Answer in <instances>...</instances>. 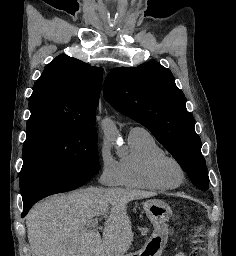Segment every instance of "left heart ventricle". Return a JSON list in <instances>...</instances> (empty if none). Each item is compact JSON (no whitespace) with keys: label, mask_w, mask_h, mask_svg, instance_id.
Returning <instances> with one entry per match:
<instances>
[{"label":"left heart ventricle","mask_w":236,"mask_h":256,"mask_svg":"<svg viewBox=\"0 0 236 256\" xmlns=\"http://www.w3.org/2000/svg\"><path fill=\"white\" fill-rule=\"evenodd\" d=\"M167 173L169 174V176L173 179V180H178L180 178V174L179 171L177 170V168L170 164L167 167Z\"/></svg>","instance_id":"1"}]
</instances>
